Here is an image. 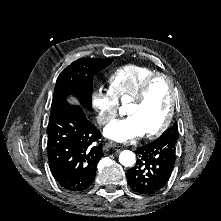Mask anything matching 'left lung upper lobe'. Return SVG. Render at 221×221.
Listing matches in <instances>:
<instances>
[{
    "instance_id": "obj_1",
    "label": "left lung upper lobe",
    "mask_w": 221,
    "mask_h": 221,
    "mask_svg": "<svg viewBox=\"0 0 221 221\" xmlns=\"http://www.w3.org/2000/svg\"><path fill=\"white\" fill-rule=\"evenodd\" d=\"M160 137H167L177 141L178 139V126L175 123L171 128L167 129Z\"/></svg>"
}]
</instances>
